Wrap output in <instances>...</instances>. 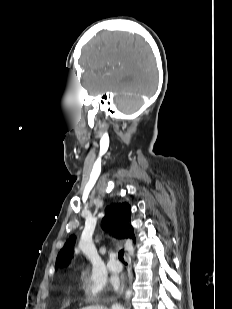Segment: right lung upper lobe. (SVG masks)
<instances>
[{
	"mask_svg": "<svg viewBox=\"0 0 232 309\" xmlns=\"http://www.w3.org/2000/svg\"><path fill=\"white\" fill-rule=\"evenodd\" d=\"M131 209L127 203L112 204L106 208L102 228L117 239L132 238L135 242L133 226L130 223ZM75 239L70 237L58 254L55 268L68 265L73 255Z\"/></svg>",
	"mask_w": 232,
	"mask_h": 309,
	"instance_id": "cb5924a9",
	"label": "right lung upper lobe"
}]
</instances>
